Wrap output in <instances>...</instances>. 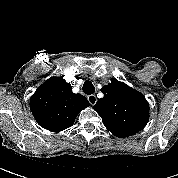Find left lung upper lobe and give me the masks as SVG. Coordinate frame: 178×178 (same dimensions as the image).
<instances>
[{
    "instance_id": "5c2ea615",
    "label": "left lung upper lobe",
    "mask_w": 178,
    "mask_h": 178,
    "mask_svg": "<svg viewBox=\"0 0 178 178\" xmlns=\"http://www.w3.org/2000/svg\"><path fill=\"white\" fill-rule=\"evenodd\" d=\"M104 97L94 105L105 127L116 137L141 131L149 120L145 96L117 80L102 87Z\"/></svg>"
}]
</instances>
